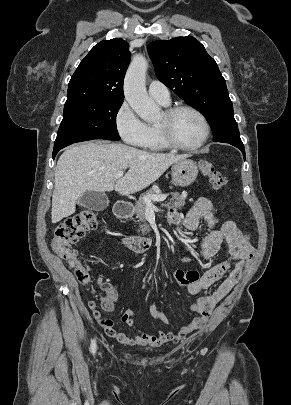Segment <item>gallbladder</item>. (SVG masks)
Here are the masks:
<instances>
[{
  "label": "gallbladder",
  "instance_id": "obj_1",
  "mask_svg": "<svg viewBox=\"0 0 291 405\" xmlns=\"http://www.w3.org/2000/svg\"><path fill=\"white\" fill-rule=\"evenodd\" d=\"M78 205L89 210L103 211L109 205L108 196L105 193L87 191L77 201Z\"/></svg>",
  "mask_w": 291,
  "mask_h": 405
}]
</instances>
